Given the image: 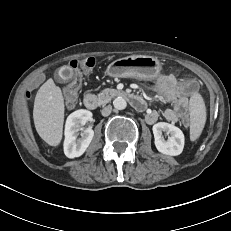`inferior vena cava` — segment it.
<instances>
[{
  "mask_svg": "<svg viewBox=\"0 0 231 231\" xmlns=\"http://www.w3.org/2000/svg\"><path fill=\"white\" fill-rule=\"evenodd\" d=\"M111 111H112V107L111 105H108L102 109L101 113L103 116H108L110 115Z\"/></svg>",
  "mask_w": 231,
  "mask_h": 231,
  "instance_id": "1",
  "label": "inferior vena cava"
}]
</instances>
